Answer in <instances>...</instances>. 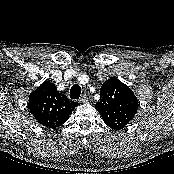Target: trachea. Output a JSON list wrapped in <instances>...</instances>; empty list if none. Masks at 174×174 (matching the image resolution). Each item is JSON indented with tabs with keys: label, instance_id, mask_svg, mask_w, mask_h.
I'll return each mask as SVG.
<instances>
[{
	"label": "trachea",
	"instance_id": "1",
	"mask_svg": "<svg viewBox=\"0 0 174 174\" xmlns=\"http://www.w3.org/2000/svg\"><path fill=\"white\" fill-rule=\"evenodd\" d=\"M81 94V87L78 84H75L70 89V98L79 99Z\"/></svg>",
	"mask_w": 174,
	"mask_h": 174
}]
</instances>
